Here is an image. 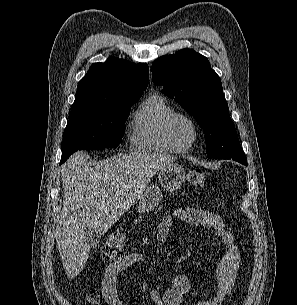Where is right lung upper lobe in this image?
Listing matches in <instances>:
<instances>
[{"label": "right lung upper lobe", "instance_id": "right-lung-upper-lobe-1", "mask_svg": "<svg viewBox=\"0 0 297 305\" xmlns=\"http://www.w3.org/2000/svg\"><path fill=\"white\" fill-rule=\"evenodd\" d=\"M148 81L147 64H134L109 57L105 63L91 65L78 84L72 107L140 97L147 88Z\"/></svg>", "mask_w": 297, "mask_h": 305}]
</instances>
